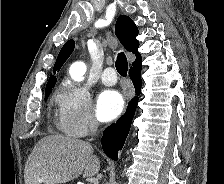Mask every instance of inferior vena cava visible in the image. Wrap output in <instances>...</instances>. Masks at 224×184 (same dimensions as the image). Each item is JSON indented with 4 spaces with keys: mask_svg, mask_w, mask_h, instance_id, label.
Returning a JSON list of instances; mask_svg holds the SVG:
<instances>
[{
    "mask_svg": "<svg viewBox=\"0 0 224 184\" xmlns=\"http://www.w3.org/2000/svg\"><path fill=\"white\" fill-rule=\"evenodd\" d=\"M97 129H98V122L95 118H92L89 122L90 133L94 135L97 132Z\"/></svg>",
    "mask_w": 224,
    "mask_h": 184,
    "instance_id": "inferior-vena-cava-1",
    "label": "inferior vena cava"
}]
</instances>
